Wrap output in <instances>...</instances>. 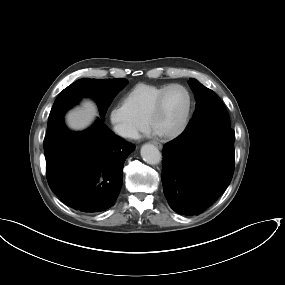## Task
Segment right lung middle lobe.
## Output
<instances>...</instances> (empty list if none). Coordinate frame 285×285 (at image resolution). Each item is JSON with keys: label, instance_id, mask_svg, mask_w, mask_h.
I'll return each mask as SVG.
<instances>
[{"label": "right lung middle lobe", "instance_id": "obj_1", "mask_svg": "<svg viewBox=\"0 0 285 285\" xmlns=\"http://www.w3.org/2000/svg\"><path fill=\"white\" fill-rule=\"evenodd\" d=\"M127 80L120 79H90L83 78L75 81L65 88L57 97L51 109L47 133L52 131L63 120V114L77 104L78 101L88 96L95 99L100 108V115L104 119L107 108L116 94L127 84Z\"/></svg>", "mask_w": 285, "mask_h": 285}]
</instances>
